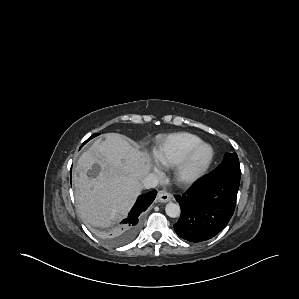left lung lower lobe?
Listing matches in <instances>:
<instances>
[{"label":"left lung lower lobe","instance_id":"0a47b994","mask_svg":"<svg viewBox=\"0 0 299 299\" xmlns=\"http://www.w3.org/2000/svg\"><path fill=\"white\" fill-rule=\"evenodd\" d=\"M240 180L205 175L185 195L175 196L181 217L174 225L176 233L190 242L213 238L232 217Z\"/></svg>","mask_w":299,"mask_h":299}]
</instances>
